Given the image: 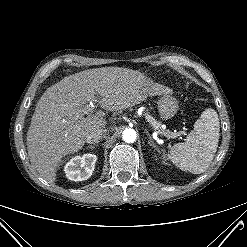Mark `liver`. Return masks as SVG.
I'll return each mask as SVG.
<instances>
[{"label":"liver","mask_w":247,"mask_h":247,"mask_svg":"<svg viewBox=\"0 0 247 247\" xmlns=\"http://www.w3.org/2000/svg\"><path fill=\"white\" fill-rule=\"evenodd\" d=\"M139 71L104 67L70 75L47 88L39 99L27 132L32 167L50 183L62 158L78 152L93 131L104 129V113L84 117L87 103L98 102L107 111H121L148 97L171 94Z\"/></svg>","instance_id":"obj_1"}]
</instances>
